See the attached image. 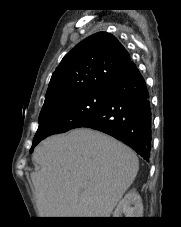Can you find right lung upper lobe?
I'll list each match as a JSON object with an SVG mask.
<instances>
[{
  "label": "right lung upper lobe",
  "instance_id": "right-lung-upper-lobe-1",
  "mask_svg": "<svg viewBox=\"0 0 181 227\" xmlns=\"http://www.w3.org/2000/svg\"><path fill=\"white\" fill-rule=\"evenodd\" d=\"M133 65L113 35L95 33L64 56L51 77L42 109L65 98L109 88Z\"/></svg>",
  "mask_w": 181,
  "mask_h": 227
}]
</instances>
